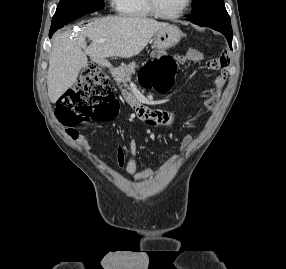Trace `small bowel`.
<instances>
[{
  "mask_svg": "<svg viewBox=\"0 0 286 269\" xmlns=\"http://www.w3.org/2000/svg\"><path fill=\"white\" fill-rule=\"evenodd\" d=\"M206 56L204 53L196 50L189 49L184 54H179L175 56L176 61L185 65L188 63H197L205 60ZM206 66L210 70L217 71L216 78L214 80V88L217 94L220 93L224 82L228 75V56L222 54L219 58L208 60ZM122 93H133V88H122ZM123 99H135V94H123ZM140 101H130V106H135L137 110L136 120H153L155 123H168L171 119L169 111H160L159 108H146V105H140ZM205 106L209 113H213L216 109V96L208 97L205 100ZM82 145L87 146V141L84 138L80 139ZM191 142L189 136L184 139V146L187 147ZM129 157L125 159V152L122 146L117 148V164L121 168H125L126 172L136 177L138 180H143L144 178L155 179L158 177L159 173L155 172L151 167L146 166L141 173L138 170V164L136 156L138 153V146L134 139H130L128 146Z\"/></svg>",
  "mask_w": 286,
  "mask_h": 269,
  "instance_id": "1",
  "label": "small bowel"
}]
</instances>
